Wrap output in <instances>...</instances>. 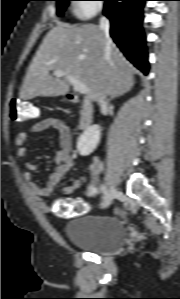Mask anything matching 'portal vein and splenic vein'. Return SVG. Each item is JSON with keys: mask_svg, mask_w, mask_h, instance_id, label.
<instances>
[{"mask_svg": "<svg viewBox=\"0 0 180 299\" xmlns=\"http://www.w3.org/2000/svg\"><path fill=\"white\" fill-rule=\"evenodd\" d=\"M53 74L56 77H62V76L67 77V79L69 80L70 84L73 86V88L76 92H78L80 94H86L88 92V88L83 82L79 81L77 78H75L71 75H68L64 71L54 70Z\"/></svg>", "mask_w": 180, "mask_h": 299, "instance_id": "18ae733b", "label": "portal vein and splenic vein"}]
</instances>
